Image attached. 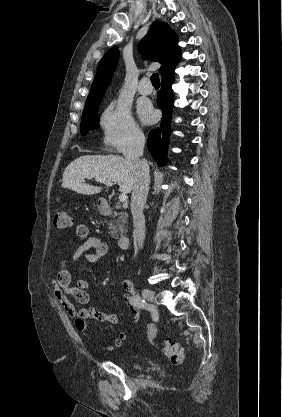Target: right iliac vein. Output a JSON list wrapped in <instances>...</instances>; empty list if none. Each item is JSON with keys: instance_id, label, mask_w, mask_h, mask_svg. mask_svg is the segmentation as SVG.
I'll use <instances>...</instances> for the list:
<instances>
[{"instance_id": "1", "label": "right iliac vein", "mask_w": 282, "mask_h": 417, "mask_svg": "<svg viewBox=\"0 0 282 417\" xmlns=\"http://www.w3.org/2000/svg\"><path fill=\"white\" fill-rule=\"evenodd\" d=\"M142 295L148 301H151V302L156 301L155 294L152 290H149V289L145 288V289L142 290Z\"/></svg>"}]
</instances>
